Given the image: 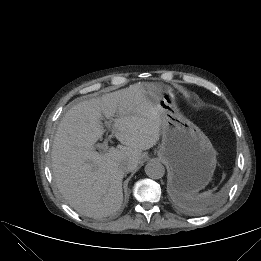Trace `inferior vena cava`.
Here are the masks:
<instances>
[{
	"mask_svg": "<svg viewBox=\"0 0 261 261\" xmlns=\"http://www.w3.org/2000/svg\"><path fill=\"white\" fill-rule=\"evenodd\" d=\"M123 169H124V171H130L131 170V166L128 165V164H125V165H123Z\"/></svg>",
	"mask_w": 261,
	"mask_h": 261,
	"instance_id": "inferior-vena-cava-1",
	"label": "inferior vena cava"
}]
</instances>
